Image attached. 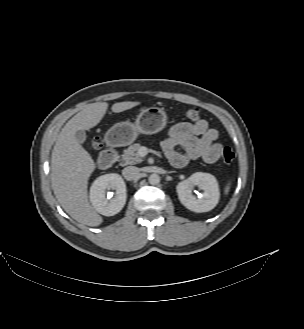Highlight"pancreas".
I'll list each match as a JSON object with an SVG mask.
<instances>
[{"label": "pancreas", "mask_w": 304, "mask_h": 329, "mask_svg": "<svg viewBox=\"0 0 304 329\" xmlns=\"http://www.w3.org/2000/svg\"><path fill=\"white\" fill-rule=\"evenodd\" d=\"M141 148L142 146L139 143H135L125 149L121 157L122 163L128 165L142 162V158L139 154Z\"/></svg>", "instance_id": "cf45deb5"}]
</instances>
